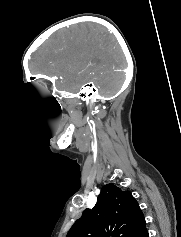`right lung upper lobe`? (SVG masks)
<instances>
[{"mask_svg":"<svg viewBox=\"0 0 181 237\" xmlns=\"http://www.w3.org/2000/svg\"><path fill=\"white\" fill-rule=\"evenodd\" d=\"M145 218L130 191L114 184L102 187L93 209H85L66 237H143Z\"/></svg>","mask_w":181,"mask_h":237,"instance_id":"obj_1","label":"right lung upper lobe"}]
</instances>
